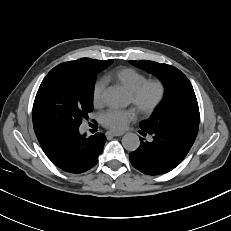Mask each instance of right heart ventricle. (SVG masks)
I'll return each instance as SVG.
<instances>
[{
    "label": "right heart ventricle",
    "mask_w": 231,
    "mask_h": 231,
    "mask_svg": "<svg viewBox=\"0 0 231 231\" xmlns=\"http://www.w3.org/2000/svg\"><path fill=\"white\" fill-rule=\"evenodd\" d=\"M114 80L122 85L129 93L147 80L144 73L130 67L122 68L113 75Z\"/></svg>",
    "instance_id": "obj_1"
}]
</instances>
